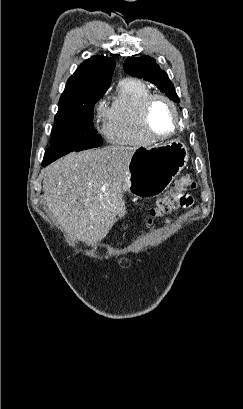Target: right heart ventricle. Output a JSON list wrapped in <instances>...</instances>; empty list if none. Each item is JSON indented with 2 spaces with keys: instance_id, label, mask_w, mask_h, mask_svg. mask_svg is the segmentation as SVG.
<instances>
[{
  "instance_id": "obj_1",
  "label": "right heart ventricle",
  "mask_w": 243,
  "mask_h": 409,
  "mask_svg": "<svg viewBox=\"0 0 243 409\" xmlns=\"http://www.w3.org/2000/svg\"><path fill=\"white\" fill-rule=\"evenodd\" d=\"M150 94L151 89L140 80L125 78L119 82L108 108L106 135L111 142L134 146L154 142L141 120L142 104Z\"/></svg>"
}]
</instances>
